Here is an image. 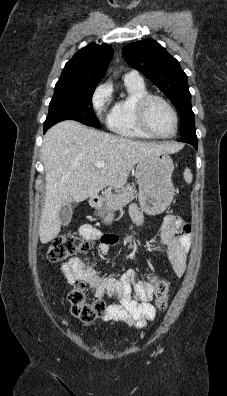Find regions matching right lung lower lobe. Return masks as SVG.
<instances>
[{"mask_svg": "<svg viewBox=\"0 0 227 396\" xmlns=\"http://www.w3.org/2000/svg\"><path fill=\"white\" fill-rule=\"evenodd\" d=\"M56 123H58V122H51V123H45V122H44V133H45L51 126H53V125L56 124Z\"/></svg>", "mask_w": 227, "mask_h": 396, "instance_id": "obj_1", "label": "right lung lower lobe"}]
</instances>
